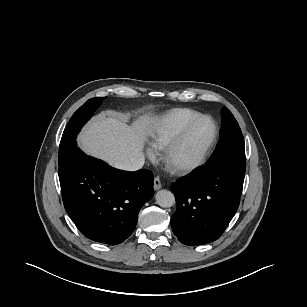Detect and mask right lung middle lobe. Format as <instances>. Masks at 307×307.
I'll return each instance as SVG.
<instances>
[{
  "label": "right lung middle lobe",
  "mask_w": 307,
  "mask_h": 307,
  "mask_svg": "<svg viewBox=\"0 0 307 307\" xmlns=\"http://www.w3.org/2000/svg\"><path fill=\"white\" fill-rule=\"evenodd\" d=\"M102 100V97L89 99L74 113L61 138L58 164L62 163L77 146L76 136L78 132L82 126L90 119L93 111L96 110V108L101 104Z\"/></svg>",
  "instance_id": "obj_1"
}]
</instances>
